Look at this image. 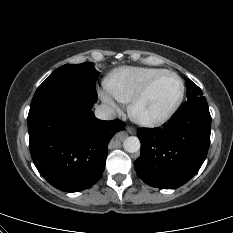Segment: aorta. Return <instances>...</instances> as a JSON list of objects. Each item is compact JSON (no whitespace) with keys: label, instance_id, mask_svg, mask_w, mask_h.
<instances>
[{"label":"aorta","instance_id":"obj_1","mask_svg":"<svg viewBox=\"0 0 233 233\" xmlns=\"http://www.w3.org/2000/svg\"><path fill=\"white\" fill-rule=\"evenodd\" d=\"M123 148L129 153H135L140 149V141L137 137L130 136L124 140Z\"/></svg>","mask_w":233,"mask_h":233}]
</instances>
